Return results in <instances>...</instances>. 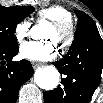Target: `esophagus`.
Listing matches in <instances>:
<instances>
[{
	"mask_svg": "<svg viewBox=\"0 0 103 103\" xmlns=\"http://www.w3.org/2000/svg\"><path fill=\"white\" fill-rule=\"evenodd\" d=\"M31 64H32L34 69H36L37 67H39L41 65L40 62H35V61H32Z\"/></svg>",
	"mask_w": 103,
	"mask_h": 103,
	"instance_id": "34e87169",
	"label": "esophagus"
}]
</instances>
